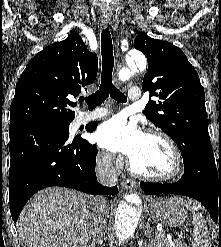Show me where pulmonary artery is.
Returning a JSON list of instances; mask_svg holds the SVG:
<instances>
[{
	"instance_id": "1",
	"label": "pulmonary artery",
	"mask_w": 221,
	"mask_h": 247,
	"mask_svg": "<svg viewBox=\"0 0 221 247\" xmlns=\"http://www.w3.org/2000/svg\"><path fill=\"white\" fill-rule=\"evenodd\" d=\"M141 96V91L138 88H132L128 92V98L132 101L139 100ZM109 113V110L105 109H96L91 112H84L81 115V121H88L97 118H101Z\"/></svg>"
}]
</instances>
